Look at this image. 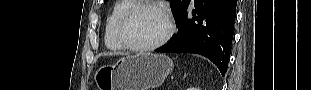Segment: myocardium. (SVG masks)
Wrapping results in <instances>:
<instances>
[{
    "mask_svg": "<svg viewBox=\"0 0 311 90\" xmlns=\"http://www.w3.org/2000/svg\"><path fill=\"white\" fill-rule=\"evenodd\" d=\"M143 8H152L160 12L166 21L167 28H166V32L164 33V35L158 41L152 44H149V45L136 46L130 43L126 39L124 35V28L127 22L129 21V19L138 10L143 9ZM174 30H175V23H174L173 17L166 7L155 2L142 1V2L135 3L133 6H131L128 10H126L121 15L116 26V36H117L119 43L123 46V48L131 52L145 53V52H150L152 50H155L163 46L171 38V36L174 33Z\"/></svg>",
    "mask_w": 311,
    "mask_h": 90,
    "instance_id": "f54148a6",
    "label": "myocardium"
}]
</instances>
